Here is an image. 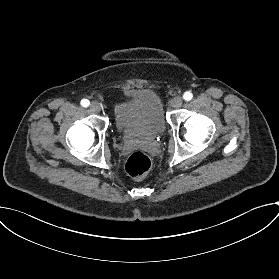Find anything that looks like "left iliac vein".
Returning <instances> with one entry per match:
<instances>
[{
  "label": "left iliac vein",
  "instance_id": "1",
  "mask_svg": "<svg viewBox=\"0 0 279 279\" xmlns=\"http://www.w3.org/2000/svg\"><path fill=\"white\" fill-rule=\"evenodd\" d=\"M182 104H183V100L179 96L174 97L171 101V106L175 109L180 108L182 106Z\"/></svg>",
  "mask_w": 279,
  "mask_h": 279
}]
</instances>
